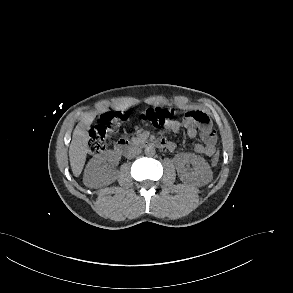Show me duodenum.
<instances>
[{
    "label": "duodenum",
    "instance_id": "410a0bca",
    "mask_svg": "<svg viewBox=\"0 0 293 293\" xmlns=\"http://www.w3.org/2000/svg\"><path fill=\"white\" fill-rule=\"evenodd\" d=\"M145 145H150L159 149H163L167 147V142L161 139H156L151 142L145 143ZM136 148L137 146L134 143L125 138L119 139L115 143V150L122 155H131L132 153H134Z\"/></svg>",
    "mask_w": 293,
    "mask_h": 293
}]
</instances>
